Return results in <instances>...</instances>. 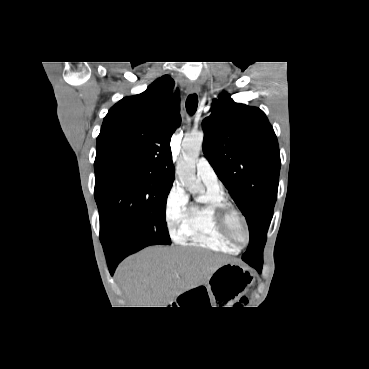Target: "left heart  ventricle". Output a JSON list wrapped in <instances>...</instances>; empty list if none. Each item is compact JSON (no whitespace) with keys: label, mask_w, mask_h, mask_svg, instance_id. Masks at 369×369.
Masks as SVG:
<instances>
[{"label":"left heart ventricle","mask_w":369,"mask_h":369,"mask_svg":"<svg viewBox=\"0 0 369 369\" xmlns=\"http://www.w3.org/2000/svg\"><path fill=\"white\" fill-rule=\"evenodd\" d=\"M233 229H234V233H235L236 238L240 241H244V239H245L244 231H243L242 227L240 226L239 222L236 221V220H234V222H233Z\"/></svg>","instance_id":"obj_1"}]
</instances>
